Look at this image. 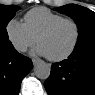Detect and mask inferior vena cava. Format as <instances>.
I'll return each mask as SVG.
<instances>
[{"label": "inferior vena cava", "mask_w": 95, "mask_h": 95, "mask_svg": "<svg viewBox=\"0 0 95 95\" xmlns=\"http://www.w3.org/2000/svg\"><path fill=\"white\" fill-rule=\"evenodd\" d=\"M18 50L21 51V52H25L26 51V47L21 46V47L18 48Z\"/></svg>", "instance_id": "602c4592"}]
</instances>
